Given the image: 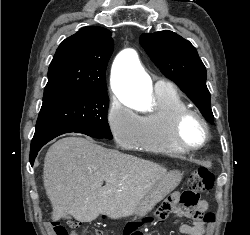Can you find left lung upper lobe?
<instances>
[{"mask_svg":"<svg viewBox=\"0 0 250 235\" xmlns=\"http://www.w3.org/2000/svg\"><path fill=\"white\" fill-rule=\"evenodd\" d=\"M140 44L161 72L187 94L206 120L213 122L206 68L195 47L169 30L144 33L140 36Z\"/></svg>","mask_w":250,"mask_h":235,"instance_id":"5c2ea615","label":"left lung upper lobe"}]
</instances>
